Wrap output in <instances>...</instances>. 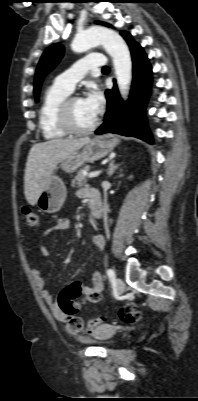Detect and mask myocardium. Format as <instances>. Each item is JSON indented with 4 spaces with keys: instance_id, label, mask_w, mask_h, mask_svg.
I'll return each instance as SVG.
<instances>
[{
    "instance_id": "f54148a6",
    "label": "myocardium",
    "mask_w": 198,
    "mask_h": 401,
    "mask_svg": "<svg viewBox=\"0 0 198 401\" xmlns=\"http://www.w3.org/2000/svg\"><path fill=\"white\" fill-rule=\"evenodd\" d=\"M81 99L78 95H69L61 103L58 110V123L60 127L68 134L80 135L86 134L95 130L99 123V117H96L94 122L87 127H78L75 125L72 117V104L75 100Z\"/></svg>"
}]
</instances>
